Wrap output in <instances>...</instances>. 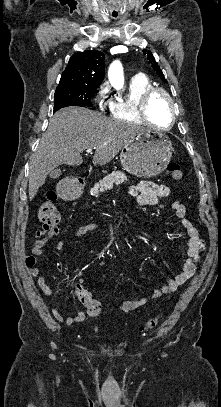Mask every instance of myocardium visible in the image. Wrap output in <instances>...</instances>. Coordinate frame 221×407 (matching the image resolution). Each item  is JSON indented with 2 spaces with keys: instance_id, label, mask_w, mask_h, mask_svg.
Here are the masks:
<instances>
[{
  "instance_id": "f54148a6",
  "label": "myocardium",
  "mask_w": 221,
  "mask_h": 407,
  "mask_svg": "<svg viewBox=\"0 0 221 407\" xmlns=\"http://www.w3.org/2000/svg\"><path fill=\"white\" fill-rule=\"evenodd\" d=\"M163 95L171 108V120H170V124L167 127H163V128H157L159 131H167L170 130L173 125L175 124V102L173 100V98L171 97V95L163 88L160 87H152L150 89H148L142 96L140 103L138 105V114L140 116V118L144 121L147 122L151 125H153V122L151 120V117L149 115V105L150 102L152 101V99L156 96V95Z\"/></svg>"
}]
</instances>
